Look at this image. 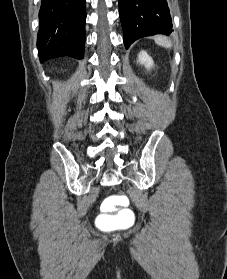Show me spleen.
I'll use <instances>...</instances> for the list:
<instances>
[{"label":"spleen","instance_id":"obj_1","mask_svg":"<svg viewBox=\"0 0 227 279\" xmlns=\"http://www.w3.org/2000/svg\"><path fill=\"white\" fill-rule=\"evenodd\" d=\"M154 40L160 46H163V47H166V48L171 47V41L167 37L158 35L154 38Z\"/></svg>","mask_w":227,"mask_h":279}]
</instances>
